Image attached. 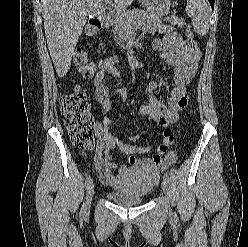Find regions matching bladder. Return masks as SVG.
<instances>
[{"label":"bladder","mask_w":248,"mask_h":247,"mask_svg":"<svg viewBox=\"0 0 248 247\" xmlns=\"http://www.w3.org/2000/svg\"><path fill=\"white\" fill-rule=\"evenodd\" d=\"M156 185L155 173L146 167L127 168L115 180V191L108 197L122 206L141 204Z\"/></svg>","instance_id":"31cf9c89"}]
</instances>
